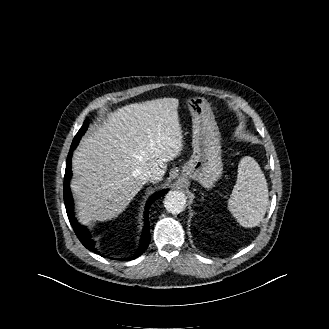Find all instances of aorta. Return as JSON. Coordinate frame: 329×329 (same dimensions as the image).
<instances>
[{"label": "aorta", "mask_w": 329, "mask_h": 329, "mask_svg": "<svg viewBox=\"0 0 329 329\" xmlns=\"http://www.w3.org/2000/svg\"><path fill=\"white\" fill-rule=\"evenodd\" d=\"M186 197L182 192L169 191L164 199V207L172 214H179L184 211Z\"/></svg>", "instance_id": "obj_1"}]
</instances>
